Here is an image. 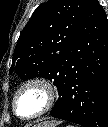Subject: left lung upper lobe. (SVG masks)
<instances>
[{"label": "left lung upper lobe", "instance_id": "5c2ea615", "mask_svg": "<svg viewBox=\"0 0 108 127\" xmlns=\"http://www.w3.org/2000/svg\"><path fill=\"white\" fill-rule=\"evenodd\" d=\"M89 0H49L33 13L15 47L10 73L45 77L60 88L64 62L76 40Z\"/></svg>", "mask_w": 108, "mask_h": 127}]
</instances>
